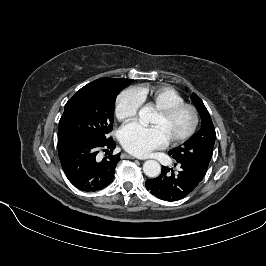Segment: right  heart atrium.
<instances>
[{
    "instance_id": "obj_1",
    "label": "right heart atrium",
    "mask_w": 266,
    "mask_h": 266,
    "mask_svg": "<svg viewBox=\"0 0 266 266\" xmlns=\"http://www.w3.org/2000/svg\"><path fill=\"white\" fill-rule=\"evenodd\" d=\"M144 100L135 87L123 90L116 100L115 114L119 120H126L137 115Z\"/></svg>"
}]
</instances>
